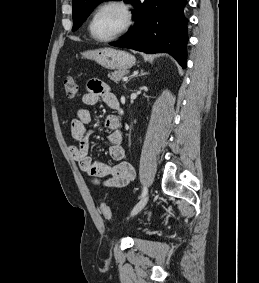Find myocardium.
I'll return each instance as SVG.
<instances>
[{"mask_svg": "<svg viewBox=\"0 0 259 283\" xmlns=\"http://www.w3.org/2000/svg\"><path fill=\"white\" fill-rule=\"evenodd\" d=\"M111 6L119 7L123 11L125 15V23L123 27L114 35L107 37V38H98L94 35L92 31V25H93L94 19L100 11H102L103 9L107 7H111ZM132 24H133V11H132L131 6L125 0H107L101 3L99 6H97L95 10L92 12L89 23H88V31L92 39H94L95 41L110 42L124 35L131 28Z\"/></svg>", "mask_w": 259, "mask_h": 283, "instance_id": "f54148a6", "label": "myocardium"}]
</instances>
